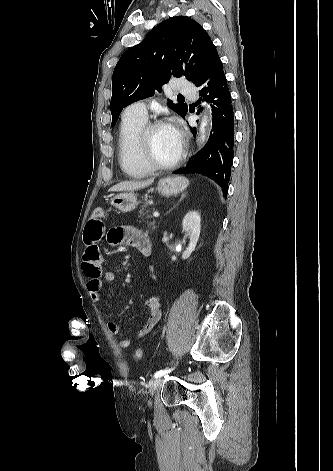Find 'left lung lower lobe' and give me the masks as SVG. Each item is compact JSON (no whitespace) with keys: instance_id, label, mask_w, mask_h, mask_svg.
Segmentation results:
<instances>
[{"instance_id":"obj_1","label":"left lung lower lobe","mask_w":333,"mask_h":471,"mask_svg":"<svg viewBox=\"0 0 333 471\" xmlns=\"http://www.w3.org/2000/svg\"><path fill=\"white\" fill-rule=\"evenodd\" d=\"M202 86L200 95L210 101L212 107V131L206 145L188 165L175 174L200 173L213 178L228 193V183L234 158V112L227 87L222 62L216 51L210 58L203 74L195 83ZM191 131L196 135V129Z\"/></svg>"}]
</instances>
